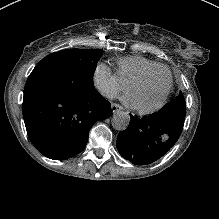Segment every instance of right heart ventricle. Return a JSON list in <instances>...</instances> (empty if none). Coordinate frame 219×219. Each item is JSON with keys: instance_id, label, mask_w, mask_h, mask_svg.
<instances>
[{"instance_id": "right-heart-ventricle-1", "label": "right heart ventricle", "mask_w": 219, "mask_h": 219, "mask_svg": "<svg viewBox=\"0 0 219 219\" xmlns=\"http://www.w3.org/2000/svg\"><path fill=\"white\" fill-rule=\"evenodd\" d=\"M161 64L143 55L121 58L117 62V78L124 86H129L140 75L156 70Z\"/></svg>"}]
</instances>
